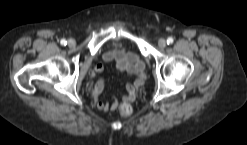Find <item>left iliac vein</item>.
Instances as JSON below:
<instances>
[{"label": "left iliac vein", "mask_w": 247, "mask_h": 145, "mask_svg": "<svg viewBox=\"0 0 247 145\" xmlns=\"http://www.w3.org/2000/svg\"><path fill=\"white\" fill-rule=\"evenodd\" d=\"M166 45H167V43H166V40L165 39H160L159 41H158V46L160 47V48H165L166 47Z\"/></svg>", "instance_id": "left-iliac-vein-1"}]
</instances>
